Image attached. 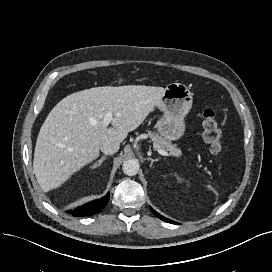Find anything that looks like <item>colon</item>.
Instances as JSON below:
<instances>
[{
    "label": "colon",
    "instance_id": "1",
    "mask_svg": "<svg viewBox=\"0 0 272 272\" xmlns=\"http://www.w3.org/2000/svg\"><path fill=\"white\" fill-rule=\"evenodd\" d=\"M202 137L212 154L223 155V133L214 110L207 109L202 115Z\"/></svg>",
    "mask_w": 272,
    "mask_h": 272
}]
</instances>
